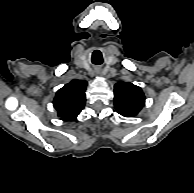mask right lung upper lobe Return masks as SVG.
Listing matches in <instances>:
<instances>
[{
  "instance_id": "cb5924a9",
  "label": "right lung upper lobe",
  "mask_w": 194,
  "mask_h": 193,
  "mask_svg": "<svg viewBox=\"0 0 194 193\" xmlns=\"http://www.w3.org/2000/svg\"><path fill=\"white\" fill-rule=\"evenodd\" d=\"M86 85L84 80H73L58 90L53 104L62 120H74L84 108Z\"/></svg>"
}]
</instances>
